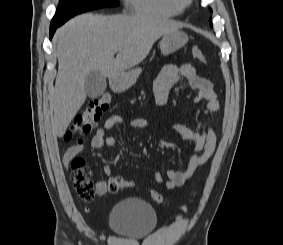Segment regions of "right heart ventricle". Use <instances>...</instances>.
Returning <instances> with one entry per match:
<instances>
[{
    "label": "right heart ventricle",
    "mask_w": 283,
    "mask_h": 245,
    "mask_svg": "<svg viewBox=\"0 0 283 245\" xmlns=\"http://www.w3.org/2000/svg\"><path fill=\"white\" fill-rule=\"evenodd\" d=\"M125 4L134 13L162 18L176 17L185 7L184 0H125Z\"/></svg>",
    "instance_id": "right-heart-ventricle-1"
}]
</instances>
